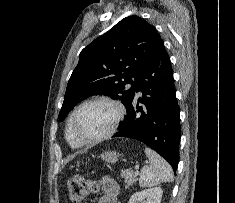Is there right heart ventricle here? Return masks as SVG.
I'll return each instance as SVG.
<instances>
[{
  "instance_id": "1",
  "label": "right heart ventricle",
  "mask_w": 235,
  "mask_h": 203,
  "mask_svg": "<svg viewBox=\"0 0 235 203\" xmlns=\"http://www.w3.org/2000/svg\"><path fill=\"white\" fill-rule=\"evenodd\" d=\"M72 115L73 113L70 115L68 122H67V126H66V140L68 141V143L73 146V147H80L82 146L83 143H81L74 135L73 131H72V127H71V121H72Z\"/></svg>"
}]
</instances>
